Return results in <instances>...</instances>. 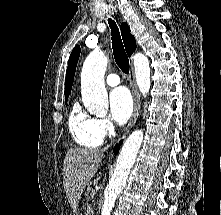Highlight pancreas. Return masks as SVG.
Segmentation results:
<instances>
[{
	"instance_id": "1",
	"label": "pancreas",
	"mask_w": 221,
	"mask_h": 215,
	"mask_svg": "<svg viewBox=\"0 0 221 215\" xmlns=\"http://www.w3.org/2000/svg\"><path fill=\"white\" fill-rule=\"evenodd\" d=\"M85 200H86L85 207H87V212H88V208H89L88 202L92 201V196H90V189L89 188L87 189V192L85 193ZM87 215H89V214H87Z\"/></svg>"
}]
</instances>
